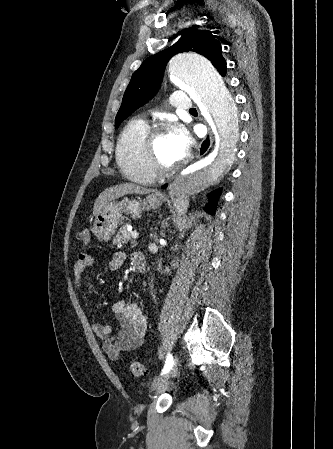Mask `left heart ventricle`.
<instances>
[{"label": "left heart ventricle", "instance_id": "b2bd125f", "mask_svg": "<svg viewBox=\"0 0 333 449\" xmlns=\"http://www.w3.org/2000/svg\"><path fill=\"white\" fill-rule=\"evenodd\" d=\"M155 151L159 161L167 167L174 166L179 162L167 132L161 134L156 139Z\"/></svg>", "mask_w": 333, "mask_h": 449}]
</instances>
